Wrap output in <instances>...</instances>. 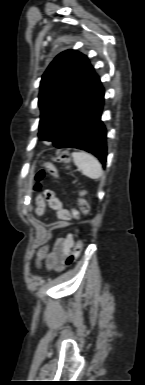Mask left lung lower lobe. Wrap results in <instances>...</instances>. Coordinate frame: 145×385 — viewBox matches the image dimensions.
Returning a JSON list of instances; mask_svg holds the SVG:
<instances>
[{
    "label": "left lung lower lobe",
    "mask_w": 145,
    "mask_h": 385,
    "mask_svg": "<svg viewBox=\"0 0 145 385\" xmlns=\"http://www.w3.org/2000/svg\"><path fill=\"white\" fill-rule=\"evenodd\" d=\"M104 90L94 76L80 100L65 116L51 142L57 148H80L94 154L103 167L106 163V129L101 122Z\"/></svg>",
    "instance_id": "1"
}]
</instances>
